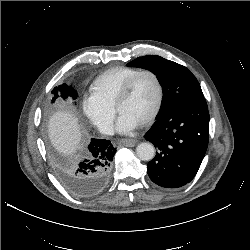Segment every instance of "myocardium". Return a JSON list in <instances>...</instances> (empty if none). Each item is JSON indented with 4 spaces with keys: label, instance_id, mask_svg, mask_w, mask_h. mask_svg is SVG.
Instances as JSON below:
<instances>
[{
    "label": "myocardium",
    "instance_id": "f54148a6",
    "mask_svg": "<svg viewBox=\"0 0 250 250\" xmlns=\"http://www.w3.org/2000/svg\"><path fill=\"white\" fill-rule=\"evenodd\" d=\"M144 74H148L150 76L153 77L155 83H156V88H157V102H156V106L153 110V112L150 114L149 117H147L139 126L140 127H146L150 124H152L156 118L158 117V115L160 114V111L162 109L163 106V101H164V88H163V84L161 82L160 77L158 76V74L156 72H154L153 70L150 69H143L138 71L136 74H134L121 88L120 92L118 93L115 102H114V110L119 114V108L120 106L127 100V98L129 97L131 90L135 84V82L137 81V79L144 75Z\"/></svg>",
    "mask_w": 250,
    "mask_h": 250
}]
</instances>
